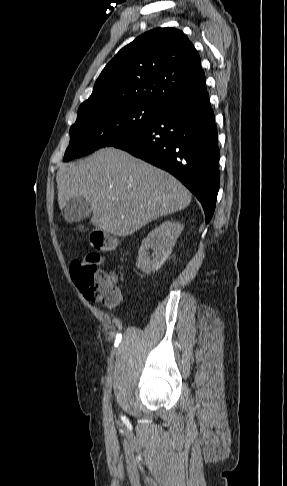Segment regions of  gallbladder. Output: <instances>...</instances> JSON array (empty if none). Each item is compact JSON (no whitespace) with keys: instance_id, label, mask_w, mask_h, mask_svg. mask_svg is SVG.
<instances>
[{"instance_id":"gallbladder-1","label":"gallbladder","mask_w":287,"mask_h":486,"mask_svg":"<svg viewBox=\"0 0 287 486\" xmlns=\"http://www.w3.org/2000/svg\"><path fill=\"white\" fill-rule=\"evenodd\" d=\"M92 211L90 204L83 197L71 198L64 210V219L67 223H76L90 217Z\"/></svg>"}]
</instances>
